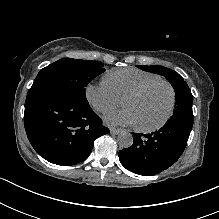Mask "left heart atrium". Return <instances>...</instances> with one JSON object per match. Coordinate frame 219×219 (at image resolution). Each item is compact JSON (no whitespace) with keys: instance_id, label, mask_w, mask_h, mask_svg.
<instances>
[{"instance_id":"left-heart-atrium-1","label":"left heart atrium","mask_w":219,"mask_h":219,"mask_svg":"<svg viewBox=\"0 0 219 219\" xmlns=\"http://www.w3.org/2000/svg\"><path fill=\"white\" fill-rule=\"evenodd\" d=\"M103 120L107 125L110 126H115V125L133 126L138 124L137 117L134 114V112L127 108L122 111L107 113L103 117Z\"/></svg>"}]
</instances>
